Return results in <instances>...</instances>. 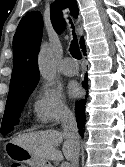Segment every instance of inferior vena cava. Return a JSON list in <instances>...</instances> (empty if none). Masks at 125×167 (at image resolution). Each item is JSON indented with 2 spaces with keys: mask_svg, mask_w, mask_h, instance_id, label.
<instances>
[{
  "mask_svg": "<svg viewBox=\"0 0 125 167\" xmlns=\"http://www.w3.org/2000/svg\"><path fill=\"white\" fill-rule=\"evenodd\" d=\"M60 121L63 133L70 139L72 143V156L69 167H78L79 159V133L75 115L67 108L60 111Z\"/></svg>",
  "mask_w": 125,
  "mask_h": 167,
  "instance_id": "obj_1",
  "label": "inferior vena cava"
}]
</instances>
